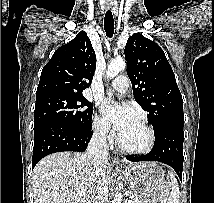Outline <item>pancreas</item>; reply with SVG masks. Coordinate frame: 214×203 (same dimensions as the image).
<instances>
[{
    "label": "pancreas",
    "instance_id": "pancreas-1",
    "mask_svg": "<svg viewBox=\"0 0 214 203\" xmlns=\"http://www.w3.org/2000/svg\"><path fill=\"white\" fill-rule=\"evenodd\" d=\"M130 197H131L133 203H138V202H137V197H136V194H135V193H131V194H130Z\"/></svg>",
    "mask_w": 214,
    "mask_h": 203
}]
</instances>
